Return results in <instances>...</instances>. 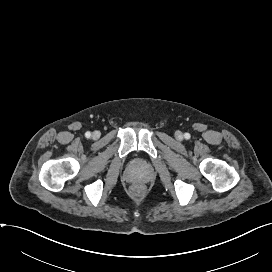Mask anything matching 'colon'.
<instances>
[{
  "mask_svg": "<svg viewBox=\"0 0 272 272\" xmlns=\"http://www.w3.org/2000/svg\"><path fill=\"white\" fill-rule=\"evenodd\" d=\"M134 191L137 192V193H139L140 192L139 187H135Z\"/></svg>",
  "mask_w": 272,
  "mask_h": 272,
  "instance_id": "1",
  "label": "colon"
}]
</instances>
